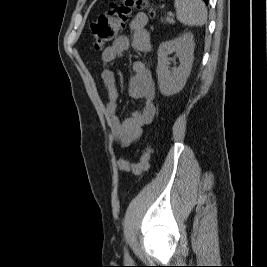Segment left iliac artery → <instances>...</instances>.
Returning a JSON list of instances; mask_svg holds the SVG:
<instances>
[{"instance_id":"obj_1","label":"left iliac artery","mask_w":267,"mask_h":267,"mask_svg":"<svg viewBox=\"0 0 267 267\" xmlns=\"http://www.w3.org/2000/svg\"><path fill=\"white\" fill-rule=\"evenodd\" d=\"M125 258L126 259H130L129 253H128V251L126 249H125Z\"/></svg>"}]
</instances>
